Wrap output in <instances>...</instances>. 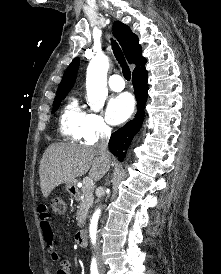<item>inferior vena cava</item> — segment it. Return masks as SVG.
Returning <instances> with one entry per match:
<instances>
[{
	"instance_id": "602c4592",
	"label": "inferior vena cava",
	"mask_w": 221,
	"mask_h": 274,
	"mask_svg": "<svg viewBox=\"0 0 221 274\" xmlns=\"http://www.w3.org/2000/svg\"><path fill=\"white\" fill-rule=\"evenodd\" d=\"M103 131H104V135L102 136L101 141L96 146V148H98L100 154L103 157H105L106 159H109L107 148H108V139H109V137L111 135V128L108 127V126H105ZM99 254H100V244L97 243V246H96V256L99 257Z\"/></svg>"
}]
</instances>
